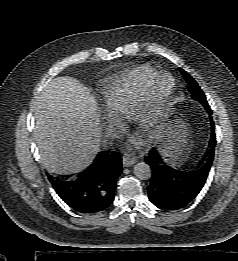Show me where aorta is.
<instances>
[{
	"instance_id": "obj_1",
	"label": "aorta",
	"mask_w": 238,
	"mask_h": 261,
	"mask_svg": "<svg viewBox=\"0 0 238 261\" xmlns=\"http://www.w3.org/2000/svg\"><path fill=\"white\" fill-rule=\"evenodd\" d=\"M134 175L140 180H148L151 178V168L145 162H139L134 166Z\"/></svg>"
}]
</instances>
